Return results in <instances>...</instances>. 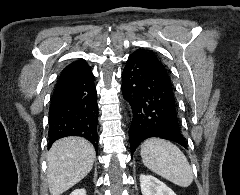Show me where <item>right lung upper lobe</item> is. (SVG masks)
Here are the masks:
<instances>
[{
  "label": "right lung upper lobe",
  "instance_id": "cb5924a9",
  "mask_svg": "<svg viewBox=\"0 0 240 195\" xmlns=\"http://www.w3.org/2000/svg\"><path fill=\"white\" fill-rule=\"evenodd\" d=\"M89 70L90 67L86 64V62L80 59L79 61L73 62L63 69L59 78L77 77L88 72Z\"/></svg>",
  "mask_w": 240,
  "mask_h": 195
}]
</instances>
